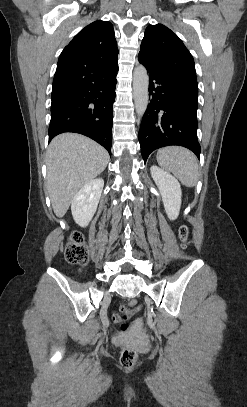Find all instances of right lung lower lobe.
Instances as JSON below:
<instances>
[{
  "label": "right lung lower lobe",
  "instance_id": "obj_1",
  "mask_svg": "<svg viewBox=\"0 0 247 407\" xmlns=\"http://www.w3.org/2000/svg\"><path fill=\"white\" fill-rule=\"evenodd\" d=\"M118 63L92 72L77 85L52 93L49 141L64 132L90 137L111 154Z\"/></svg>",
  "mask_w": 247,
  "mask_h": 407
}]
</instances>
